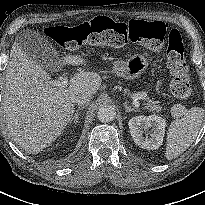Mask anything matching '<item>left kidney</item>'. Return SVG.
Masks as SVG:
<instances>
[{"label":"left kidney","instance_id":"5707ae66","mask_svg":"<svg viewBox=\"0 0 205 205\" xmlns=\"http://www.w3.org/2000/svg\"><path fill=\"white\" fill-rule=\"evenodd\" d=\"M131 136L136 145L147 150L158 149L165 135L166 121L160 116H136L128 122ZM152 127L150 137H144L143 132Z\"/></svg>","mask_w":205,"mask_h":205}]
</instances>
